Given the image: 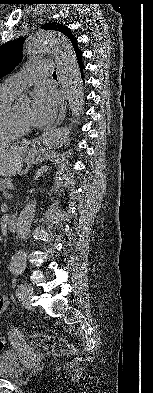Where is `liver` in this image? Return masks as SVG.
<instances>
[{
	"instance_id": "6515ba94",
	"label": "liver",
	"mask_w": 153,
	"mask_h": 393,
	"mask_svg": "<svg viewBox=\"0 0 153 393\" xmlns=\"http://www.w3.org/2000/svg\"><path fill=\"white\" fill-rule=\"evenodd\" d=\"M24 148L19 146H0V176L18 174L23 167Z\"/></svg>"
}]
</instances>
